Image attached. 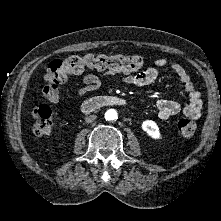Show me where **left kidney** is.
I'll list each match as a JSON object with an SVG mask.
<instances>
[{"label":"left kidney","mask_w":221,"mask_h":221,"mask_svg":"<svg viewBox=\"0 0 221 221\" xmlns=\"http://www.w3.org/2000/svg\"><path fill=\"white\" fill-rule=\"evenodd\" d=\"M142 129L153 139H160L161 134L157 124L152 120H145L142 123Z\"/></svg>","instance_id":"5707ae66"}]
</instances>
